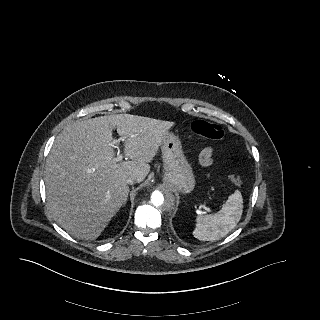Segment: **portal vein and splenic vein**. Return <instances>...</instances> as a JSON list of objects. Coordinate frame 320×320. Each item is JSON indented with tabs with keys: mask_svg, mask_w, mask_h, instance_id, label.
I'll return each instance as SVG.
<instances>
[{
	"mask_svg": "<svg viewBox=\"0 0 320 320\" xmlns=\"http://www.w3.org/2000/svg\"><path fill=\"white\" fill-rule=\"evenodd\" d=\"M120 141H123V139L115 140V141L113 142V144H116V145H117V144L120 143ZM122 158H123V156H122L121 154H118V155H117V158H115V161L118 162V161L122 160Z\"/></svg>",
	"mask_w": 320,
	"mask_h": 320,
	"instance_id": "18ae733b",
	"label": "portal vein and splenic vein"
}]
</instances>
